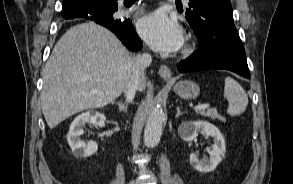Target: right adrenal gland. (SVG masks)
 <instances>
[{"instance_id": "2a0ac1e0", "label": "right adrenal gland", "mask_w": 293, "mask_h": 184, "mask_svg": "<svg viewBox=\"0 0 293 184\" xmlns=\"http://www.w3.org/2000/svg\"><path fill=\"white\" fill-rule=\"evenodd\" d=\"M118 108H119V111L121 112H126L127 111V105L126 103H122V102H116Z\"/></svg>"}]
</instances>
